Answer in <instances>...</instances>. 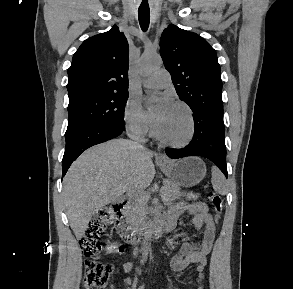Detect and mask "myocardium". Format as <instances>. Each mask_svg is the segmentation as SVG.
Masks as SVG:
<instances>
[{"label": "myocardium", "instance_id": "1", "mask_svg": "<svg viewBox=\"0 0 293 289\" xmlns=\"http://www.w3.org/2000/svg\"><path fill=\"white\" fill-rule=\"evenodd\" d=\"M173 105L180 106L187 112L188 119H189V131L186 137L183 140L177 141V142L169 141L167 139L162 138L157 133L155 129V125L152 127L151 135L162 145L172 147V148H184V147H187L192 142L196 133V123H195L194 114L191 107L183 101H179V100L174 101Z\"/></svg>", "mask_w": 293, "mask_h": 289}]
</instances>
